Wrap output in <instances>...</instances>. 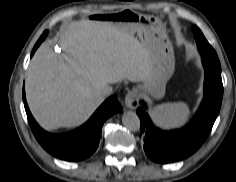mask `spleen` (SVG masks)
<instances>
[{
	"mask_svg": "<svg viewBox=\"0 0 236 182\" xmlns=\"http://www.w3.org/2000/svg\"><path fill=\"white\" fill-rule=\"evenodd\" d=\"M154 122L163 128H172L183 125L190 116V110L185 103H164L151 111Z\"/></svg>",
	"mask_w": 236,
	"mask_h": 182,
	"instance_id": "1",
	"label": "spleen"
}]
</instances>
